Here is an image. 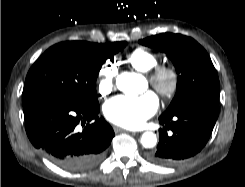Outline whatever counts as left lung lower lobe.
<instances>
[{"label": "left lung lower lobe", "mask_w": 245, "mask_h": 187, "mask_svg": "<svg viewBox=\"0 0 245 187\" xmlns=\"http://www.w3.org/2000/svg\"><path fill=\"white\" fill-rule=\"evenodd\" d=\"M219 114L218 100H205L169 115L160 116L165 127L159 130L157 151L150 156L154 163L172 165L194 156L207 143ZM172 131V135L167 134Z\"/></svg>", "instance_id": "left-lung-lower-lobe-1"}]
</instances>
